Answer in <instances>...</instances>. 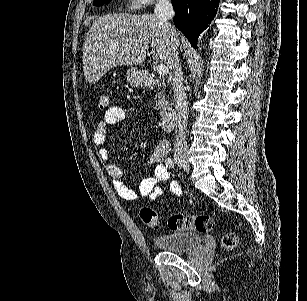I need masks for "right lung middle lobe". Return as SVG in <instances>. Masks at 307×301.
Listing matches in <instances>:
<instances>
[{
	"label": "right lung middle lobe",
	"mask_w": 307,
	"mask_h": 301,
	"mask_svg": "<svg viewBox=\"0 0 307 301\" xmlns=\"http://www.w3.org/2000/svg\"><path fill=\"white\" fill-rule=\"evenodd\" d=\"M111 0H94V2H93V5H95V6H101V5H103V4H105V3H108V2H110Z\"/></svg>",
	"instance_id": "dd1d6c3e"
}]
</instances>
